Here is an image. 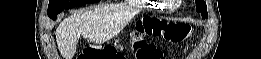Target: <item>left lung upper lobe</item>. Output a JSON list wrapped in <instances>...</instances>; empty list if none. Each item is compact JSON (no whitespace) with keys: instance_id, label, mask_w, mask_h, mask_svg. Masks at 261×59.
<instances>
[{"instance_id":"obj_1","label":"left lung upper lobe","mask_w":261,"mask_h":59,"mask_svg":"<svg viewBox=\"0 0 261 59\" xmlns=\"http://www.w3.org/2000/svg\"><path fill=\"white\" fill-rule=\"evenodd\" d=\"M196 10L200 11V12H204V14H202V18L207 17L208 13H207V6L206 3L203 0H196Z\"/></svg>"}]
</instances>
